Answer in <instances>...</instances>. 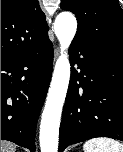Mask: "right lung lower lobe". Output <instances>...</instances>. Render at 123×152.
I'll return each mask as SVG.
<instances>
[{"label":"right lung lower lobe","instance_id":"right-lung-lower-lobe-1","mask_svg":"<svg viewBox=\"0 0 123 152\" xmlns=\"http://www.w3.org/2000/svg\"><path fill=\"white\" fill-rule=\"evenodd\" d=\"M52 65L48 36L25 53L1 58V139L35 152L36 124Z\"/></svg>","mask_w":123,"mask_h":152}]
</instances>
